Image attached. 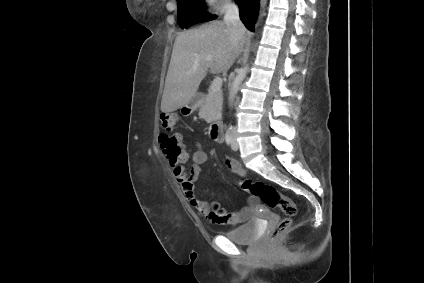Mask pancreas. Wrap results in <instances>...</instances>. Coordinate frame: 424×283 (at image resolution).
I'll list each match as a JSON object with an SVG mask.
<instances>
[{"mask_svg": "<svg viewBox=\"0 0 424 283\" xmlns=\"http://www.w3.org/2000/svg\"><path fill=\"white\" fill-rule=\"evenodd\" d=\"M223 96L222 92H211L209 90L207 96L201 101L199 116L206 122L217 120L222 111Z\"/></svg>", "mask_w": 424, "mask_h": 283, "instance_id": "1", "label": "pancreas"}]
</instances>
